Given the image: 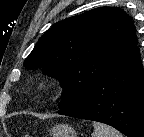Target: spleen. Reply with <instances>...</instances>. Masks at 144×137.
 I'll return each mask as SVG.
<instances>
[{"instance_id":"1","label":"spleen","mask_w":144,"mask_h":137,"mask_svg":"<svg viewBox=\"0 0 144 137\" xmlns=\"http://www.w3.org/2000/svg\"><path fill=\"white\" fill-rule=\"evenodd\" d=\"M94 132L92 137H122V134L113 127L100 123L93 122Z\"/></svg>"}]
</instances>
